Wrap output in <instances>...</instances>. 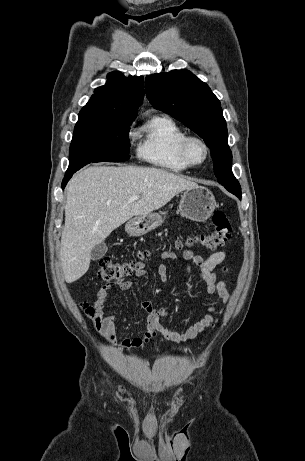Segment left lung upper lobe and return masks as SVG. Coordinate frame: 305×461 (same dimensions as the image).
Returning <instances> with one entry per match:
<instances>
[{
    "label": "left lung upper lobe",
    "instance_id": "1",
    "mask_svg": "<svg viewBox=\"0 0 305 461\" xmlns=\"http://www.w3.org/2000/svg\"><path fill=\"white\" fill-rule=\"evenodd\" d=\"M145 90L155 109L183 122L203 138L211 151L218 182L241 198L240 185L231 170L226 121L220 101L208 85L188 70H173L147 76Z\"/></svg>",
    "mask_w": 305,
    "mask_h": 461
}]
</instances>
